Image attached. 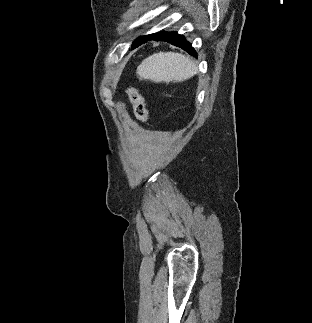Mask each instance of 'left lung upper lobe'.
<instances>
[{
    "instance_id": "5c2ea615",
    "label": "left lung upper lobe",
    "mask_w": 312,
    "mask_h": 323,
    "mask_svg": "<svg viewBox=\"0 0 312 323\" xmlns=\"http://www.w3.org/2000/svg\"><path fill=\"white\" fill-rule=\"evenodd\" d=\"M144 37H145V36H143V37H139L138 39H136V40L133 42V44H132V48H135L136 46H138V45L142 42V40L144 39Z\"/></svg>"
}]
</instances>
